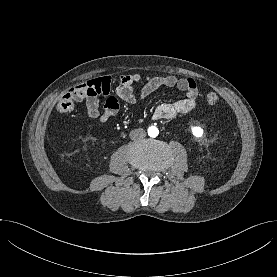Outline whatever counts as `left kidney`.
<instances>
[{
  "label": "left kidney",
  "mask_w": 277,
  "mask_h": 277,
  "mask_svg": "<svg viewBox=\"0 0 277 277\" xmlns=\"http://www.w3.org/2000/svg\"><path fill=\"white\" fill-rule=\"evenodd\" d=\"M191 131H192V134L197 137V138H200L203 136V129L199 126H192L191 127Z\"/></svg>",
  "instance_id": "left-kidney-1"
}]
</instances>
